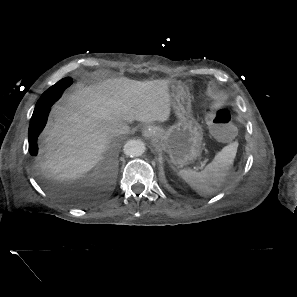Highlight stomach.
<instances>
[{
  "label": "stomach",
  "mask_w": 297,
  "mask_h": 297,
  "mask_svg": "<svg viewBox=\"0 0 297 297\" xmlns=\"http://www.w3.org/2000/svg\"><path fill=\"white\" fill-rule=\"evenodd\" d=\"M172 104L179 120L169 128H156L155 139L163 151L169 154L172 164L183 167L202 153L203 131L190 113V93L181 82L170 85Z\"/></svg>",
  "instance_id": "1"
}]
</instances>
